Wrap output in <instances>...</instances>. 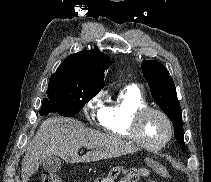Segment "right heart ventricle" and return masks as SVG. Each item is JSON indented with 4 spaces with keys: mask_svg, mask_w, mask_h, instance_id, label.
Instances as JSON below:
<instances>
[{
    "mask_svg": "<svg viewBox=\"0 0 211 182\" xmlns=\"http://www.w3.org/2000/svg\"><path fill=\"white\" fill-rule=\"evenodd\" d=\"M144 106H147V101L141 91L134 86L126 87L106 107L100 124L107 133L133 141L132 117L137 109Z\"/></svg>",
    "mask_w": 211,
    "mask_h": 182,
    "instance_id": "right-heart-ventricle-1",
    "label": "right heart ventricle"
}]
</instances>
